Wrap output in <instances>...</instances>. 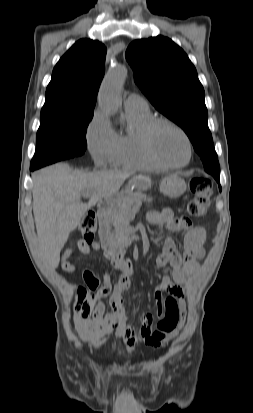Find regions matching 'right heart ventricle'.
I'll list each match as a JSON object with an SVG mask.
<instances>
[{
    "mask_svg": "<svg viewBox=\"0 0 253 413\" xmlns=\"http://www.w3.org/2000/svg\"><path fill=\"white\" fill-rule=\"evenodd\" d=\"M152 118L153 116L149 109H125L124 120L127 128L123 132L116 134V145L110 159L112 166L131 169L157 168L146 157L140 143L141 129Z\"/></svg>",
    "mask_w": 253,
    "mask_h": 413,
    "instance_id": "1",
    "label": "right heart ventricle"
}]
</instances>
